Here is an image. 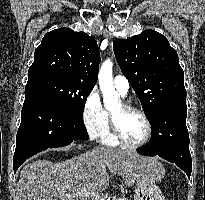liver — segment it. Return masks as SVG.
Segmentation results:
<instances>
[{
    "label": "liver",
    "instance_id": "1",
    "mask_svg": "<svg viewBox=\"0 0 205 200\" xmlns=\"http://www.w3.org/2000/svg\"><path fill=\"white\" fill-rule=\"evenodd\" d=\"M157 158L136 152L94 147L84 154L61 162L36 160L20 171L16 200H91L90 193L103 192L109 186L107 169L133 185L139 177H163L155 169ZM82 195L77 196L76 193Z\"/></svg>",
    "mask_w": 205,
    "mask_h": 200
}]
</instances>
